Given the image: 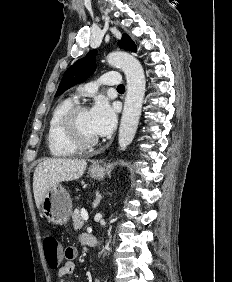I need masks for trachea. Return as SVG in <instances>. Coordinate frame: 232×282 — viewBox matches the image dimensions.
<instances>
[{
  "instance_id": "3493384b",
  "label": "trachea",
  "mask_w": 232,
  "mask_h": 282,
  "mask_svg": "<svg viewBox=\"0 0 232 282\" xmlns=\"http://www.w3.org/2000/svg\"><path fill=\"white\" fill-rule=\"evenodd\" d=\"M117 89H119V90H124L125 87H124V85H119V86L117 87Z\"/></svg>"
}]
</instances>
